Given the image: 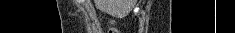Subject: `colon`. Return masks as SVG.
Listing matches in <instances>:
<instances>
[{
  "mask_svg": "<svg viewBox=\"0 0 235 33\" xmlns=\"http://www.w3.org/2000/svg\"><path fill=\"white\" fill-rule=\"evenodd\" d=\"M115 32H116V30L114 28H110L109 33H115Z\"/></svg>",
  "mask_w": 235,
  "mask_h": 33,
  "instance_id": "1",
  "label": "colon"
}]
</instances>
